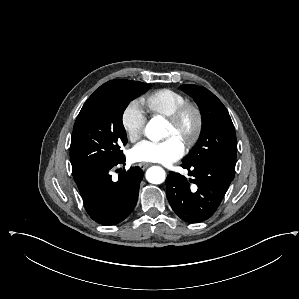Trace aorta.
Returning <instances> with one entry per match:
<instances>
[{
  "mask_svg": "<svg viewBox=\"0 0 299 299\" xmlns=\"http://www.w3.org/2000/svg\"><path fill=\"white\" fill-rule=\"evenodd\" d=\"M167 122L161 116L153 117L145 128L146 136L152 141H159L165 137L164 129ZM166 173L163 168L159 166L150 167L146 171V179L152 184H161L165 181Z\"/></svg>",
  "mask_w": 299,
  "mask_h": 299,
  "instance_id": "obj_1",
  "label": "aorta"
}]
</instances>
